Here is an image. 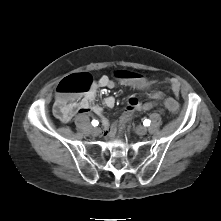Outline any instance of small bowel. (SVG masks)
<instances>
[{"mask_svg": "<svg viewBox=\"0 0 221 221\" xmlns=\"http://www.w3.org/2000/svg\"><path fill=\"white\" fill-rule=\"evenodd\" d=\"M168 83L170 84V88L173 94V97H170V99L177 100V97L180 93V83L178 80L172 78L168 80ZM115 82L111 80L108 76L102 75L100 76L92 85L89 91H87L80 99H77L73 103V115L75 113L78 114H90L93 113L100 117L101 123L108 133V135L113 134L116 131L118 121L120 118L128 113H131V110L135 108L137 105H141L143 99L150 100L152 98V93L150 91L137 92L135 94V97L132 96L129 98L127 106L125 111L121 114L119 120L114 123H110L109 120L103 115V109L99 105L94 104L95 97H96V90L98 88H114ZM158 95H163L166 97V94L164 91L159 90L156 92L154 97H157ZM104 104L108 108H112L115 105V99L112 96H109L105 98ZM168 110V109H167ZM171 112V110H169Z\"/></svg>", "mask_w": 221, "mask_h": 221, "instance_id": "1", "label": "small bowel"}]
</instances>
